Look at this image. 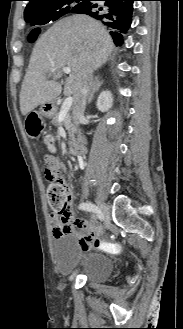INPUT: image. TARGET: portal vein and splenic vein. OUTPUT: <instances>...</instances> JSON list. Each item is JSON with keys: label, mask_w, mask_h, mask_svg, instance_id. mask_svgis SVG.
Returning <instances> with one entry per match:
<instances>
[{"label": "portal vein and splenic vein", "mask_w": 183, "mask_h": 329, "mask_svg": "<svg viewBox=\"0 0 183 329\" xmlns=\"http://www.w3.org/2000/svg\"><path fill=\"white\" fill-rule=\"evenodd\" d=\"M62 71H64L65 73H71L72 69L70 67H63ZM51 72H55V69H51ZM73 103V97L69 96L65 99V101L63 102L61 109H60V113H59V117L58 120L61 121L65 118L66 114L68 113V111L70 110L71 106Z\"/></svg>", "instance_id": "portal-vein-and-splenic-vein-1"}]
</instances>
